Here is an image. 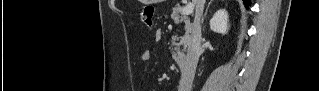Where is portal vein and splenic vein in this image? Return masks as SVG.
<instances>
[{
	"mask_svg": "<svg viewBox=\"0 0 319 91\" xmlns=\"http://www.w3.org/2000/svg\"><path fill=\"white\" fill-rule=\"evenodd\" d=\"M194 4L188 3L183 9H182V15L188 16L193 13Z\"/></svg>",
	"mask_w": 319,
	"mask_h": 91,
	"instance_id": "obj_1",
	"label": "portal vein and splenic vein"
}]
</instances>
